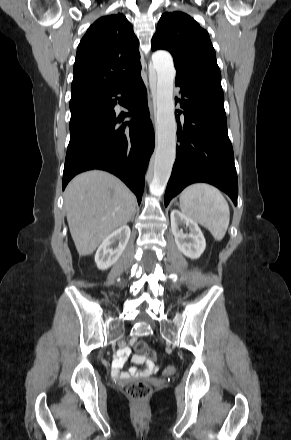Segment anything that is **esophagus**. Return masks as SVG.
Wrapping results in <instances>:
<instances>
[{"label": "esophagus", "instance_id": "34e87169", "mask_svg": "<svg viewBox=\"0 0 291 440\" xmlns=\"http://www.w3.org/2000/svg\"><path fill=\"white\" fill-rule=\"evenodd\" d=\"M148 107L150 110L151 119H153V105H152V101H151L150 97L148 98Z\"/></svg>", "mask_w": 291, "mask_h": 440}]
</instances>
